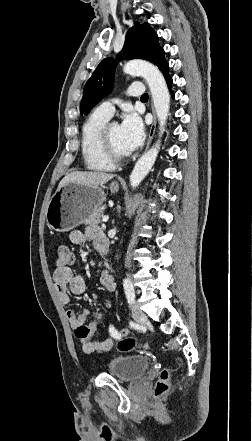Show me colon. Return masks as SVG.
Listing matches in <instances>:
<instances>
[{"label": "colon", "instance_id": "5ec220e1", "mask_svg": "<svg viewBox=\"0 0 252 441\" xmlns=\"http://www.w3.org/2000/svg\"><path fill=\"white\" fill-rule=\"evenodd\" d=\"M73 260L72 253L68 246L59 245L56 249V261L55 264L57 267H65L68 266ZM103 315L102 312L99 311L95 319L89 325H84L75 331V335L77 339L80 341L82 345V349L84 344L89 340V338L94 334V332L100 326ZM148 345L146 343H140L135 338L129 337L119 342L118 349L120 351H131L137 348L146 349ZM169 380H170V370L165 368L162 370L159 380L155 387V395L161 396L167 392L169 388Z\"/></svg>", "mask_w": 252, "mask_h": 441}]
</instances>
